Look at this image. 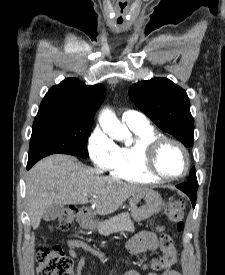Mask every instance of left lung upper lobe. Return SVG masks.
Returning <instances> with one entry per match:
<instances>
[{"label": "left lung upper lobe", "instance_id": "1", "mask_svg": "<svg viewBox=\"0 0 225 275\" xmlns=\"http://www.w3.org/2000/svg\"><path fill=\"white\" fill-rule=\"evenodd\" d=\"M132 101L160 129L179 139L186 147L193 145L194 125L186 91L167 78L157 77L133 84ZM188 183L198 184L195 168Z\"/></svg>", "mask_w": 225, "mask_h": 275}]
</instances>
